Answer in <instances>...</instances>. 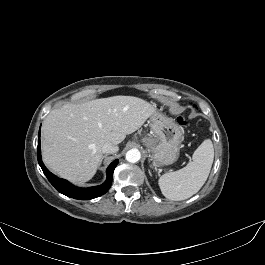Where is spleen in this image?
Masks as SVG:
<instances>
[{"label":"spleen","instance_id":"obj_1","mask_svg":"<svg viewBox=\"0 0 265 265\" xmlns=\"http://www.w3.org/2000/svg\"><path fill=\"white\" fill-rule=\"evenodd\" d=\"M213 159L212 141L206 139L193 153L192 161L184 168L159 178L162 194L173 201L185 200L196 194L209 176Z\"/></svg>","mask_w":265,"mask_h":265}]
</instances>
